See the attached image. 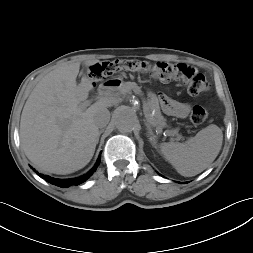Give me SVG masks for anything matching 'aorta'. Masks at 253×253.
<instances>
[{"label":"aorta","mask_w":253,"mask_h":253,"mask_svg":"<svg viewBox=\"0 0 253 253\" xmlns=\"http://www.w3.org/2000/svg\"><path fill=\"white\" fill-rule=\"evenodd\" d=\"M116 126L123 131L131 130L137 122V115L130 107H121L115 112Z\"/></svg>","instance_id":"obj_1"}]
</instances>
